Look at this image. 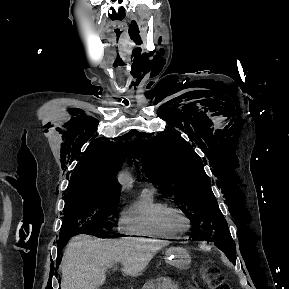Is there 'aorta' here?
Here are the masks:
<instances>
[{
  "label": "aorta",
  "mask_w": 289,
  "mask_h": 289,
  "mask_svg": "<svg viewBox=\"0 0 289 289\" xmlns=\"http://www.w3.org/2000/svg\"><path fill=\"white\" fill-rule=\"evenodd\" d=\"M118 181L123 190H130L133 187V180L127 171H123L118 176Z\"/></svg>",
  "instance_id": "1"
}]
</instances>
